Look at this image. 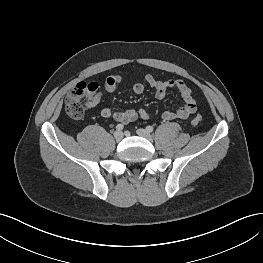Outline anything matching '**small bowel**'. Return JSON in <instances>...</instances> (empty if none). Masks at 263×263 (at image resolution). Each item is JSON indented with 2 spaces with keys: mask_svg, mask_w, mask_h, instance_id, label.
I'll return each mask as SVG.
<instances>
[{
  "mask_svg": "<svg viewBox=\"0 0 263 263\" xmlns=\"http://www.w3.org/2000/svg\"><path fill=\"white\" fill-rule=\"evenodd\" d=\"M122 78L120 75L112 74L106 77L103 84V91L96 93L92 100V106H96L101 101L103 94H109L115 91L117 86L121 83ZM144 83L148 84L155 90V96L158 99H163L170 89L177 90L184 100L183 106L176 111H165L162 113L164 121H171L174 119H187L190 115L194 114L197 110L195 99L192 95L191 89L179 79L158 80L152 75L144 77ZM143 82H137L133 85L132 91L136 95H140L145 90ZM100 114L105 118H112L122 124L131 123L137 119L148 120L150 115L145 109H126L124 111H114L111 108L104 107L100 110Z\"/></svg>",
  "mask_w": 263,
  "mask_h": 263,
  "instance_id": "small-bowel-1",
  "label": "small bowel"
}]
</instances>
